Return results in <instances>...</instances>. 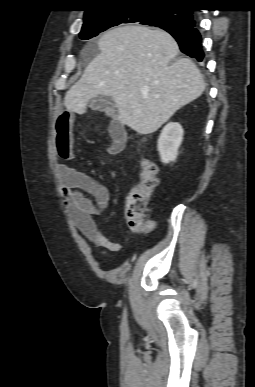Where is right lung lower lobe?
I'll return each mask as SVG.
<instances>
[{
    "mask_svg": "<svg viewBox=\"0 0 255 387\" xmlns=\"http://www.w3.org/2000/svg\"><path fill=\"white\" fill-rule=\"evenodd\" d=\"M182 13L191 19L192 23L190 25L161 28L170 33L176 39L180 46V50L183 53L195 58L199 62H202L204 59L202 38L197 28L192 10L183 9Z\"/></svg>",
    "mask_w": 255,
    "mask_h": 387,
    "instance_id": "98d812e1",
    "label": "right lung lower lobe"
}]
</instances>
